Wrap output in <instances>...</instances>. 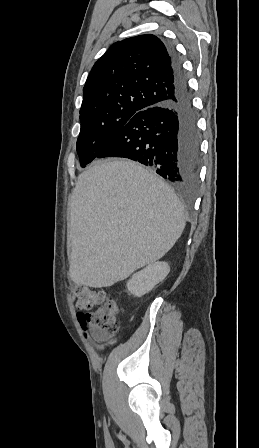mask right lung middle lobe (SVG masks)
<instances>
[{"mask_svg": "<svg viewBox=\"0 0 259 448\" xmlns=\"http://www.w3.org/2000/svg\"><path fill=\"white\" fill-rule=\"evenodd\" d=\"M141 111L143 110H123L109 114L87 113L80 115L81 130L76 149L81 167H85V165L97 158L127 122Z\"/></svg>", "mask_w": 259, "mask_h": 448, "instance_id": "dd1d6c3e", "label": "right lung middle lobe"}]
</instances>
